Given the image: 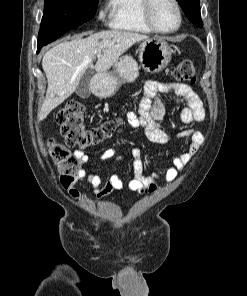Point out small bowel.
I'll return each mask as SVG.
<instances>
[{
  "mask_svg": "<svg viewBox=\"0 0 247 296\" xmlns=\"http://www.w3.org/2000/svg\"><path fill=\"white\" fill-rule=\"evenodd\" d=\"M168 93L174 94L176 96L175 102L182 105L179 118L188 127L178 132L176 137L186 140L188 147L178 155L172 156L171 165L163 173L154 171L150 175L143 173L144 162L141 150L133 148L131 150L133 176L127 183V187L139 194L156 192L162 176L166 183L174 182L204 142V135L191 127L194 123L204 120V106L196 92L183 83L158 80L145 81L138 113L128 112L126 115L129 125L132 128L142 129L147 139L152 143L161 144L169 141L171 136L160 127V122L165 113V104L161 95ZM74 154L80 162L76 178L87 181L91 185L96 198H105L112 191L124 188V183L117 174H111L104 180L98 173L88 171L89 156L86 153L77 150ZM112 158L116 160L121 158L113 148L106 150L102 154V159ZM69 193L75 199L80 198V192L75 187H69Z\"/></svg>",
  "mask_w": 247,
  "mask_h": 296,
  "instance_id": "c3829d8e",
  "label": "small bowel"
}]
</instances>
